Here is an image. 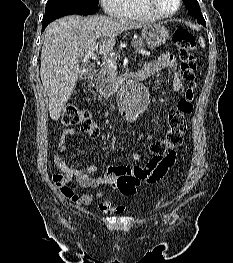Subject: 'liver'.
I'll use <instances>...</instances> for the list:
<instances>
[{
    "label": "liver",
    "mask_w": 233,
    "mask_h": 263,
    "mask_svg": "<svg viewBox=\"0 0 233 263\" xmlns=\"http://www.w3.org/2000/svg\"><path fill=\"white\" fill-rule=\"evenodd\" d=\"M145 27L127 19L106 16H67L50 23L44 32L40 77L48 96L50 118L58 120L78 80V60L94 44L107 55L123 31ZM97 40H99L97 42Z\"/></svg>",
    "instance_id": "1"
}]
</instances>
